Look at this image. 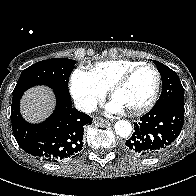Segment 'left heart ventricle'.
<instances>
[{
    "label": "left heart ventricle",
    "instance_id": "left-heart-ventricle-1",
    "mask_svg": "<svg viewBox=\"0 0 196 196\" xmlns=\"http://www.w3.org/2000/svg\"><path fill=\"white\" fill-rule=\"evenodd\" d=\"M156 86V74L151 68L139 70L114 96V100L126 110L144 105L152 96Z\"/></svg>",
    "mask_w": 196,
    "mask_h": 196
}]
</instances>
